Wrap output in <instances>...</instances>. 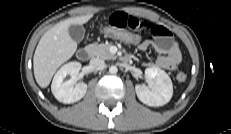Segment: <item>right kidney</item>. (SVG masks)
<instances>
[{
    "instance_id": "1",
    "label": "right kidney",
    "mask_w": 231,
    "mask_h": 134,
    "mask_svg": "<svg viewBox=\"0 0 231 134\" xmlns=\"http://www.w3.org/2000/svg\"><path fill=\"white\" fill-rule=\"evenodd\" d=\"M81 69L79 62H69L63 65L55 74L51 90L55 98L62 103H74L84 97L87 91V84L80 82L76 83V77ZM67 75L71 79L64 81Z\"/></svg>"
}]
</instances>
